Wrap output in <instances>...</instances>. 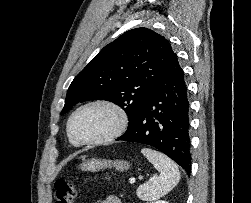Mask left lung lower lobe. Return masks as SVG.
I'll return each mask as SVG.
<instances>
[{"label":"left lung lower lobe","mask_w":251,"mask_h":203,"mask_svg":"<svg viewBox=\"0 0 251 203\" xmlns=\"http://www.w3.org/2000/svg\"><path fill=\"white\" fill-rule=\"evenodd\" d=\"M189 99L174 53L134 124L117 140L153 146L191 171Z\"/></svg>","instance_id":"1"}]
</instances>
